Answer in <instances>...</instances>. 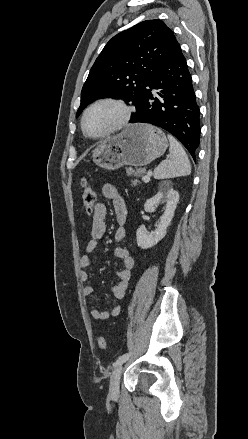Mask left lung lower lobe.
I'll use <instances>...</instances> for the list:
<instances>
[{
  "mask_svg": "<svg viewBox=\"0 0 248 439\" xmlns=\"http://www.w3.org/2000/svg\"><path fill=\"white\" fill-rule=\"evenodd\" d=\"M199 107L186 59L177 43L149 81L130 123H150L174 135L196 158L200 141Z\"/></svg>",
  "mask_w": 248,
  "mask_h": 439,
  "instance_id": "1",
  "label": "left lung lower lobe"
}]
</instances>
